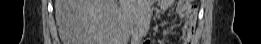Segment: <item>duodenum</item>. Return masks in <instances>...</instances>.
Masks as SVG:
<instances>
[{"label":"duodenum","mask_w":261,"mask_h":44,"mask_svg":"<svg viewBox=\"0 0 261 44\" xmlns=\"http://www.w3.org/2000/svg\"><path fill=\"white\" fill-rule=\"evenodd\" d=\"M137 29L140 35H145L149 31L150 17L144 10L138 11L137 13Z\"/></svg>","instance_id":"obj_1"}]
</instances>
